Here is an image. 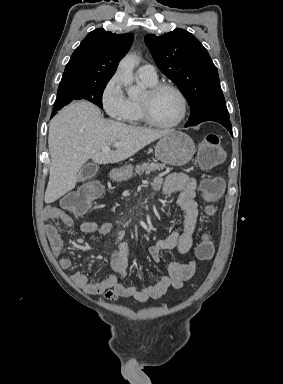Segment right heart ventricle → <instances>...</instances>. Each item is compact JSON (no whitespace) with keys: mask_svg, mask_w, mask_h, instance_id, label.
Returning a JSON list of instances; mask_svg holds the SVG:
<instances>
[{"mask_svg":"<svg viewBox=\"0 0 283 384\" xmlns=\"http://www.w3.org/2000/svg\"><path fill=\"white\" fill-rule=\"evenodd\" d=\"M143 84L146 86H151L156 84L157 82L154 83H148L143 81ZM129 112H128V119L127 122L132 124V125H141L144 123L143 118L141 116V111H140V104L139 100L129 98Z\"/></svg>","mask_w":283,"mask_h":384,"instance_id":"e07e8e85","label":"right heart ventricle"}]
</instances>
